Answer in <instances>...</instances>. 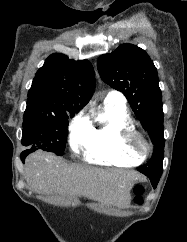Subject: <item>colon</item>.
Here are the masks:
<instances>
[{
  "label": "colon",
  "mask_w": 187,
  "mask_h": 242,
  "mask_svg": "<svg viewBox=\"0 0 187 242\" xmlns=\"http://www.w3.org/2000/svg\"><path fill=\"white\" fill-rule=\"evenodd\" d=\"M133 192H134V201L137 204H141L142 203V194L144 192V187L140 184H137L134 187Z\"/></svg>",
  "instance_id": "1"
}]
</instances>
